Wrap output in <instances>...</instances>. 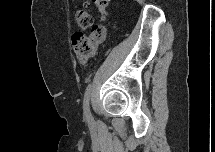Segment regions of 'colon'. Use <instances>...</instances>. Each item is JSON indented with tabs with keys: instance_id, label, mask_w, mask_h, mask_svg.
<instances>
[{
	"instance_id": "1",
	"label": "colon",
	"mask_w": 215,
	"mask_h": 152,
	"mask_svg": "<svg viewBox=\"0 0 215 152\" xmlns=\"http://www.w3.org/2000/svg\"><path fill=\"white\" fill-rule=\"evenodd\" d=\"M92 3L97 7L100 15L104 17L109 1L92 0ZM74 17L79 27L83 29L91 28L89 35L76 33L72 37V47L75 55L82 62H86L103 43L105 39V27L103 25H92L91 15L83 8L76 9Z\"/></svg>"
}]
</instances>
